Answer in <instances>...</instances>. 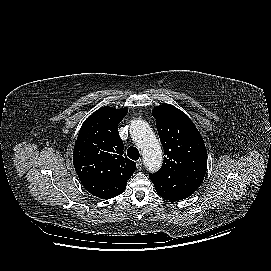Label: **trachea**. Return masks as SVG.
Listing matches in <instances>:
<instances>
[{
  "instance_id": "trachea-1",
  "label": "trachea",
  "mask_w": 271,
  "mask_h": 271,
  "mask_svg": "<svg viewBox=\"0 0 271 271\" xmlns=\"http://www.w3.org/2000/svg\"><path fill=\"white\" fill-rule=\"evenodd\" d=\"M127 155L132 160H138L140 157V153L136 147H129L127 150Z\"/></svg>"
}]
</instances>
